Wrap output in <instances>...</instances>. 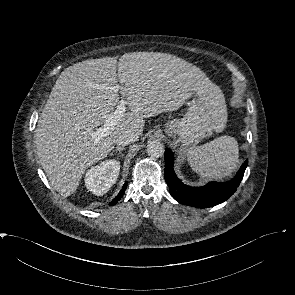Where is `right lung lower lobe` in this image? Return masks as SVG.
Instances as JSON below:
<instances>
[{
  "label": "right lung lower lobe",
  "mask_w": 295,
  "mask_h": 295,
  "mask_svg": "<svg viewBox=\"0 0 295 295\" xmlns=\"http://www.w3.org/2000/svg\"><path fill=\"white\" fill-rule=\"evenodd\" d=\"M126 187H127V183H125L121 189V191L119 192L118 196L116 198L113 199V201L110 203V206L116 204L120 198L123 196L125 190H126Z\"/></svg>",
  "instance_id": "1"
}]
</instances>
